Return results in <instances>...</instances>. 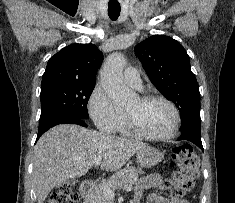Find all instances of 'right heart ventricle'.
I'll list each match as a JSON object with an SVG mask.
<instances>
[{"label": "right heart ventricle", "instance_id": "obj_1", "mask_svg": "<svg viewBox=\"0 0 235 203\" xmlns=\"http://www.w3.org/2000/svg\"><path fill=\"white\" fill-rule=\"evenodd\" d=\"M116 131L118 133H120L121 135H123V136H131L132 135L131 131L128 128L125 116H124L123 121L121 122V124L119 125V127Z\"/></svg>", "mask_w": 235, "mask_h": 203}]
</instances>
